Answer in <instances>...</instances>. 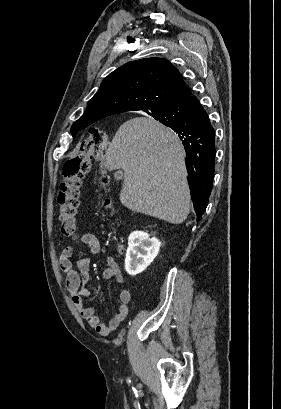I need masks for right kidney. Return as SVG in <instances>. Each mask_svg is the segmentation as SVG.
Wrapping results in <instances>:
<instances>
[{
    "label": "right kidney",
    "mask_w": 281,
    "mask_h": 409,
    "mask_svg": "<svg viewBox=\"0 0 281 409\" xmlns=\"http://www.w3.org/2000/svg\"><path fill=\"white\" fill-rule=\"evenodd\" d=\"M160 241L156 237L150 239L144 231H133L128 237V249L125 257V271L129 275H139L145 271L160 251Z\"/></svg>",
    "instance_id": "obj_1"
}]
</instances>
